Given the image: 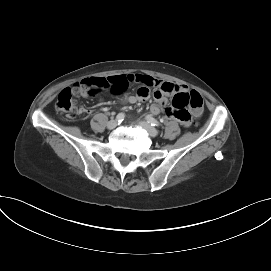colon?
<instances>
[{"label": "colon", "instance_id": "5ec220e1", "mask_svg": "<svg viewBox=\"0 0 271 271\" xmlns=\"http://www.w3.org/2000/svg\"><path fill=\"white\" fill-rule=\"evenodd\" d=\"M93 84L84 85L77 83L73 87L63 89L56 100L55 109L68 117H74L83 113L84 108L78 104L73 98L74 95H79L84 88H90ZM204 101L202 96L196 91H190L187 94H176L173 97V106L179 110H183L189 106L196 115L202 112ZM183 119H188L189 116L182 114Z\"/></svg>", "mask_w": 271, "mask_h": 271}]
</instances>
